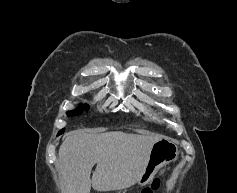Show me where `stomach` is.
<instances>
[{
    "label": "stomach",
    "instance_id": "obj_1",
    "mask_svg": "<svg viewBox=\"0 0 237 193\" xmlns=\"http://www.w3.org/2000/svg\"><path fill=\"white\" fill-rule=\"evenodd\" d=\"M178 153V147L172 141L161 139L156 142L149 151L144 170L136 183L142 186L148 184L161 167L177 159Z\"/></svg>",
    "mask_w": 237,
    "mask_h": 193
}]
</instances>
